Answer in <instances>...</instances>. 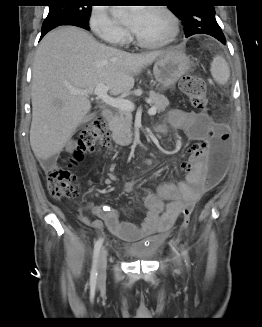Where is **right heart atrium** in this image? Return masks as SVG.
Masks as SVG:
<instances>
[{
    "mask_svg": "<svg viewBox=\"0 0 262 327\" xmlns=\"http://www.w3.org/2000/svg\"><path fill=\"white\" fill-rule=\"evenodd\" d=\"M89 27L103 42L114 46H123L127 43V30L118 25L109 7L97 5L89 15Z\"/></svg>",
    "mask_w": 262,
    "mask_h": 327,
    "instance_id": "right-heart-atrium-1",
    "label": "right heart atrium"
}]
</instances>
